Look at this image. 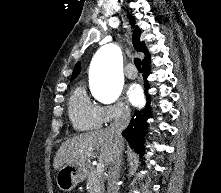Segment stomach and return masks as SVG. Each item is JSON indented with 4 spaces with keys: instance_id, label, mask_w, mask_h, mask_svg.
Listing matches in <instances>:
<instances>
[{
    "instance_id": "obj_1",
    "label": "stomach",
    "mask_w": 221,
    "mask_h": 193,
    "mask_svg": "<svg viewBox=\"0 0 221 193\" xmlns=\"http://www.w3.org/2000/svg\"><path fill=\"white\" fill-rule=\"evenodd\" d=\"M87 176L85 166L66 164L56 174V183L60 190L69 192Z\"/></svg>"
}]
</instances>
